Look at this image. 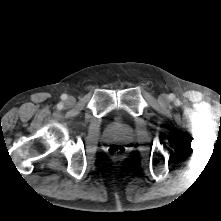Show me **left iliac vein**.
<instances>
[{
	"mask_svg": "<svg viewBox=\"0 0 221 221\" xmlns=\"http://www.w3.org/2000/svg\"><path fill=\"white\" fill-rule=\"evenodd\" d=\"M168 101H169V98H168L167 95L162 94V95L159 96V102L161 104H166V103H168Z\"/></svg>",
	"mask_w": 221,
	"mask_h": 221,
	"instance_id": "1",
	"label": "left iliac vein"
}]
</instances>
